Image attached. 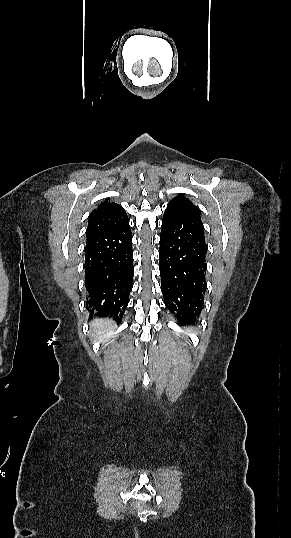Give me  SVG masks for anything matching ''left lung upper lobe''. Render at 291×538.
<instances>
[{
  "label": "left lung upper lobe",
  "mask_w": 291,
  "mask_h": 538,
  "mask_svg": "<svg viewBox=\"0 0 291 538\" xmlns=\"http://www.w3.org/2000/svg\"><path fill=\"white\" fill-rule=\"evenodd\" d=\"M166 209H171L182 215L189 216L198 220L200 219L201 211L198 207L194 206L192 202L184 195L179 194L178 197L172 199ZM178 314V310L174 313Z\"/></svg>",
  "instance_id": "obj_1"
}]
</instances>
